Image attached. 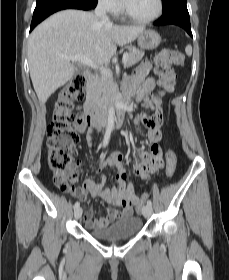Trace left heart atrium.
Here are the masks:
<instances>
[{
  "mask_svg": "<svg viewBox=\"0 0 229 280\" xmlns=\"http://www.w3.org/2000/svg\"><path fill=\"white\" fill-rule=\"evenodd\" d=\"M123 3H125L127 0H121Z\"/></svg>",
  "mask_w": 229,
  "mask_h": 280,
  "instance_id": "left-heart-atrium-1",
  "label": "left heart atrium"
}]
</instances>
